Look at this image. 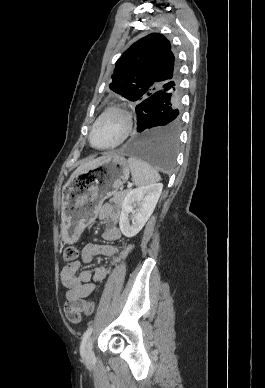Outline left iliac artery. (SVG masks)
Returning a JSON list of instances; mask_svg holds the SVG:
<instances>
[{"label": "left iliac artery", "instance_id": "obj_1", "mask_svg": "<svg viewBox=\"0 0 265 388\" xmlns=\"http://www.w3.org/2000/svg\"><path fill=\"white\" fill-rule=\"evenodd\" d=\"M92 331H93V328H92V327H89V328L85 331V333L83 334L82 342H81V346H80V352H81V354H84V352H85V345H86V342H87L88 338L90 337Z\"/></svg>", "mask_w": 265, "mask_h": 388}]
</instances>
